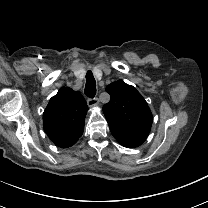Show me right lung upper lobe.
I'll return each mask as SVG.
<instances>
[{
	"mask_svg": "<svg viewBox=\"0 0 208 208\" xmlns=\"http://www.w3.org/2000/svg\"><path fill=\"white\" fill-rule=\"evenodd\" d=\"M87 103L78 91L62 87L53 96L44 113V130L58 147H67L81 137Z\"/></svg>",
	"mask_w": 208,
	"mask_h": 208,
	"instance_id": "obj_1",
	"label": "right lung upper lobe"
}]
</instances>
